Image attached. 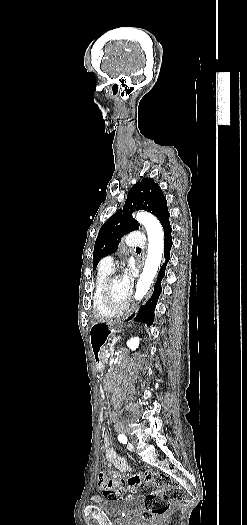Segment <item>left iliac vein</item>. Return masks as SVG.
I'll list each match as a JSON object with an SVG mask.
<instances>
[{
  "mask_svg": "<svg viewBox=\"0 0 247 525\" xmlns=\"http://www.w3.org/2000/svg\"><path fill=\"white\" fill-rule=\"evenodd\" d=\"M127 448H128L130 451H132V450L134 449V446H133L132 443H128V444H127Z\"/></svg>",
  "mask_w": 247,
  "mask_h": 525,
  "instance_id": "4c4485c4",
  "label": "left iliac vein"
}]
</instances>
